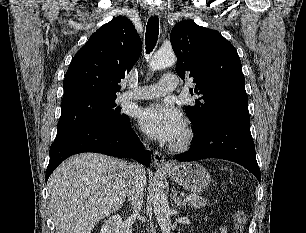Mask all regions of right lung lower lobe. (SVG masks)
<instances>
[{
	"label": "right lung lower lobe",
	"instance_id": "98d812e1",
	"mask_svg": "<svg viewBox=\"0 0 306 233\" xmlns=\"http://www.w3.org/2000/svg\"><path fill=\"white\" fill-rule=\"evenodd\" d=\"M82 152L132 158L145 166H149L151 161V153L142 147L138 136L130 128V120L121 127L104 124L86 125L56 136L49 151L46 182L63 160Z\"/></svg>",
	"mask_w": 306,
	"mask_h": 233
}]
</instances>
